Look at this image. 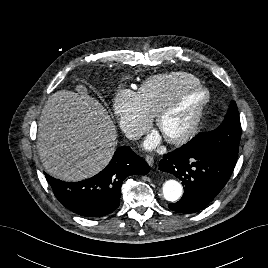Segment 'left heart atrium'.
<instances>
[{"mask_svg": "<svg viewBox=\"0 0 268 268\" xmlns=\"http://www.w3.org/2000/svg\"><path fill=\"white\" fill-rule=\"evenodd\" d=\"M160 135L157 131H153L145 141V148L150 149L160 142Z\"/></svg>", "mask_w": 268, "mask_h": 268, "instance_id": "1", "label": "left heart atrium"}]
</instances>
